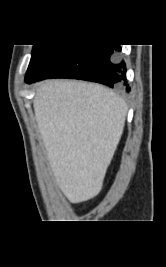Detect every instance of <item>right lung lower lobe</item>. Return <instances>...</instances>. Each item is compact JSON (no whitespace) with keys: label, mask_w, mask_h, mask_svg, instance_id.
<instances>
[{"label":"right lung lower lobe","mask_w":166,"mask_h":267,"mask_svg":"<svg viewBox=\"0 0 166 267\" xmlns=\"http://www.w3.org/2000/svg\"><path fill=\"white\" fill-rule=\"evenodd\" d=\"M120 51L119 45H52L25 81L30 84L47 78H73L129 92Z\"/></svg>","instance_id":"98d812e1"}]
</instances>
